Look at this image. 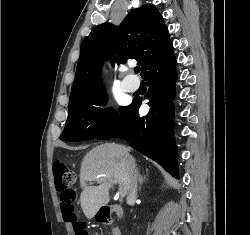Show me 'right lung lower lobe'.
<instances>
[{
    "label": "right lung lower lobe",
    "mask_w": 250,
    "mask_h": 235,
    "mask_svg": "<svg viewBox=\"0 0 250 235\" xmlns=\"http://www.w3.org/2000/svg\"><path fill=\"white\" fill-rule=\"evenodd\" d=\"M172 43L154 60L143 77L149 85L145 95L150 111L138 113L142 100L134 99L97 139L125 138L132 148L153 159L178 178L177 150L173 137V100L177 79Z\"/></svg>",
    "instance_id": "obj_1"
}]
</instances>
